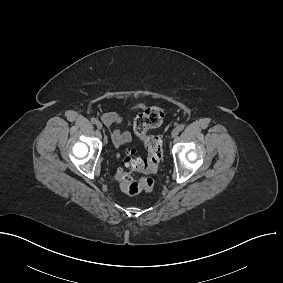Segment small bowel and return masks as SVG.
I'll list each match as a JSON object with an SVG mask.
<instances>
[{"mask_svg": "<svg viewBox=\"0 0 283 283\" xmlns=\"http://www.w3.org/2000/svg\"><path fill=\"white\" fill-rule=\"evenodd\" d=\"M103 123L107 126L116 125L117 128L112 132L111 138L116 146L129 143L132 140V135L129 131L123 129L126 122L129 120L116 112H104L101 116Z\"/></svg>", "mask_w": 283, "mask_h": 283, "instance_id": "1", "label": "small bowel"}]
</instances>
